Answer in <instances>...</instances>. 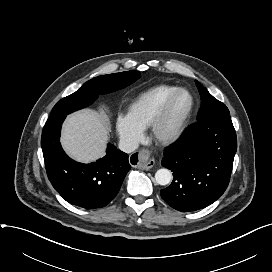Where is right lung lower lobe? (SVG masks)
<instances>
[{
  "label": "right lung lower lobe",
  "instance_id": "1",
  "mask_svg": "<svg viewBox=\"0 0 272 272\" xmlns=\"http://www.w3.org/2000/svg\"><path fill=\"white\" fill-rule=\"evenodd\" d=\"M66 115L48 119L42 131L41 147L50 182L70 204L85 208L106 206L118 193L130 170L128 155L108 144L107 154L91 164L70 159L60 144V130Z\"/></svg>",
  "mask_w": 272,
  "mask_h": 272
}]
</instances>
